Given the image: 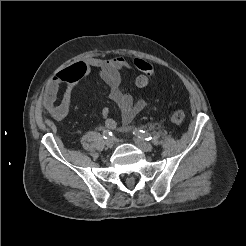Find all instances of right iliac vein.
Returning a JSON list of instances; mask_svg holds the SVG:
<instances>
[{
  "label": "right iliac vein",
  "instance_id": "63e3f726",
  "mask_svg": "<svg viewBox=\"0 0 246 246\" xmlns=\"http://www.w3.org/2000/svg\"><path fill=\"white\" fill-rule=\"evenodd\" d=\"M107 147L112 148L115 144V140L112 137H108L105 141Z\"/></svg>",
  "mask_w": 246,
  "mask_h": 246
}]
</instances>
